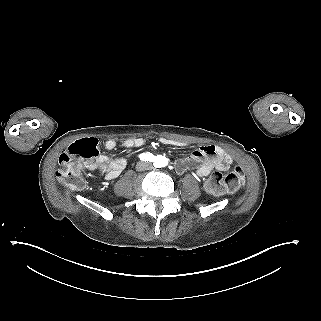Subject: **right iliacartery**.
I'll return each mask as SVG.
<instances>
[{
	"mask_svg": "<svg viewBox=\"0 0 321 321\" xmlns=\"http://www.w3.org/2000/svg\"><path fill=\"white\" fill-rule=\"evenodd\" d=\"M140 159L143 160V161H155V156L151 153H143L141 154L140 156Z\"/></svg>",
	"mask_w": 321,
	"mask_h": 321,
	"instance_id": "obj_1",
	"label": "right iliac artery"
}]
</instances>
